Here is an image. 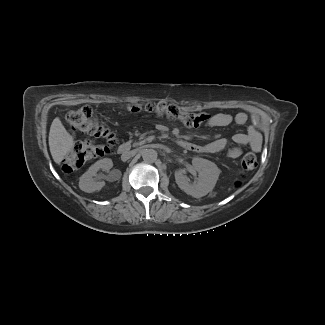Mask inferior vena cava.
<instances>
[{"label":"inferior vena cava","instance_id":"602c4592","mask_svg":"<svg viewBox=\"0 0 325 325\" xmlns=\"http://www.w3.org/2000/svg\"><path fill=\"white\" fill-rule=\"evenodd\" d=\"M131 156H132V153H131V152L124 153V154H122L121 159H122L123 161H126V160H128L129 158H131Z\"/></svg>","mask_w":325,"mask_h":325}]
</instances>
